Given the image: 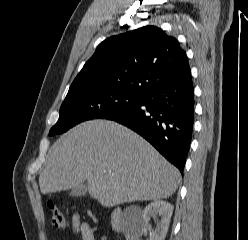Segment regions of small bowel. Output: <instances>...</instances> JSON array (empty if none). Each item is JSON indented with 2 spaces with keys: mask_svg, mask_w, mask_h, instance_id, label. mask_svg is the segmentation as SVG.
I'll return each mask as SVG.
<instances>
[{
  "mask_svg": "<svg viewBox=\"0 0 248 240\" xmlns=\"http://www.w3.org/2000/svg\"><path fill=\"white\" fill-rule=\"evenodd\" d=\"M74 232L79 234L82 240H96L93 228L86 222H82L78 215L72 219Z\"/></svg>",
  "mask_w": 248,
  "mask_h": 240,
  "instance_id": "obj_1",
  "label": "small bowel"
}]
</instances>
